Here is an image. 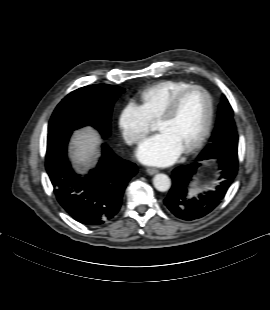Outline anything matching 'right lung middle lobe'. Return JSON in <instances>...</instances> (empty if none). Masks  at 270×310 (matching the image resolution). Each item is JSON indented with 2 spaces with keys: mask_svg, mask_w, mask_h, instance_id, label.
Returning <instances> with one entry per match:
<instances>
[{
  "mask_svg": "<svg viewBox=\"0 0 270 310\" xmlns=\"http://www.w3.org/2000/svg\"><path fill=\"white\" fill-rule=\"evenodd\" d=\"M124 92L118 86L96 84L68 94L56 107L49 121L48 133L70 135L73 130L91 125L106 138L114 102Z\"/></svg>",
  "mask_w": 270,
  "mask_h": 310,
  "instance_id": "dd1d6c3e",
  "label": "right lung middle lobe"
}]
</instances>
